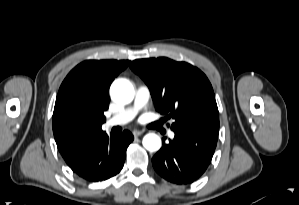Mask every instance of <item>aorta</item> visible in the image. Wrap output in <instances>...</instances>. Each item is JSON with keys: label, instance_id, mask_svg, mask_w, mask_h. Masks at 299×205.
I'll return each instance as SVG.
<instances>
[{"label": "aorta", "instance_id": "1", "mask_svg": "<svg viewBox=\"0 0 299 205\" xmlns=\"http://www.w3.org/2000/svg\"><path fill=\"white\" fill-rule=\"evenodd\" d=\"M111 98L122 104L130 103L134 98L133 85L126 79L115 80L110 88ZM143 146L151 152L158 151L161 148V139L154 133H149L143 138Z\"/></svg>", "mask_w": 299, "mask_h": 205}]
</instances>
